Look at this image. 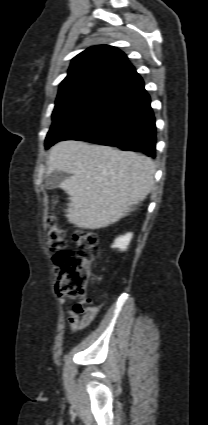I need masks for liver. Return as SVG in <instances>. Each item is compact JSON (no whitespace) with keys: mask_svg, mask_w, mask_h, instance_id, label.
I'll return each instance as SVG.
<instances>
[{"mask_svg":"<svg viewBox=\"0 0 208 425\" xmlns=\"http://www.w3.org/2000/svg\"><path fill=\"white\" fill-rule=\"evenodd\" d=\"M72 176L60 184L70 196L66 217L83 229L107 227L150 193L155 165L149 157L108 146L67 140L54 145L47 174Z\"/></svg>","mask_w":208,"mask_h":425,"instance_id":"1","label":"liver"}]
</instances>
